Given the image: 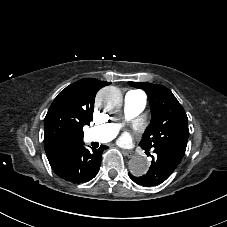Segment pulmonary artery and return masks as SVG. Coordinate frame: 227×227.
<instances>
[{
  "mask_svg": "<svg viewBox=\"0 0 227 227\" xmlns=\"http://www.w3.org/2000/svg\"><path fill=\"white\" fill-rule=\"evenodd\" d=\"M146 106L145 97L139 90H130L124 96V109L126 113L135 115L141 112ZM118 131V126L113 123H107L99 126H93L86 130L84 140L88 144L94 142L105 143L113 139Z\"/></svg>",
  "mask_w": 227,
  "mask_h": 227,
  "instance_id": "pulmonary-artery-1",
  "label": "pulmonary artery"
}]
</instances>
